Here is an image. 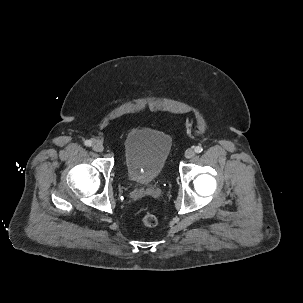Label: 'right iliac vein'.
Segmentation results:
<instances>
[{
    "instance_id": "obj_1",
    "label": "right iliac vein",
    "mask_w": 303,
    "mask_h": 303,
    "mask_svg": "<svg viewBox=\"0 0 303 303\" xmlns=\"http://www.w3.org/2000/svg\"><path fill=\"white\" fill-rule=\"evenodd\" d=\"M92 148L96 152H102L104 150L103 145L99 142H94L93 145H92Z\"/></svg>"
}]
</instances>
